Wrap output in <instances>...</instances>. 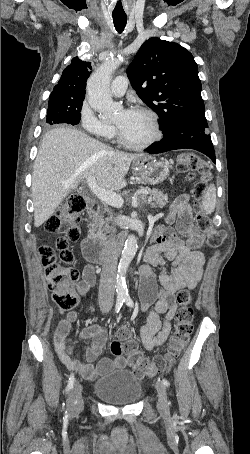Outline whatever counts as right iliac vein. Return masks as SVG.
<instances>
[{"mask_svg": "<svg viewBox=\"0 0 250 454\" xmlns=\"http://www.w3.org/2000/svg\"><path fill=\"white\" fill-rule=\"evenodd\" d=\"M67 403L68 408L72 413H78L82 411L84 407V401L82 398L81 385L79 382L75 383V386L68 397Z\"/></svg>", "mask_w": 250, "mask_h": 454, "instance_id": "obj_1", "label": "right iliac vein"}]
</instances>
